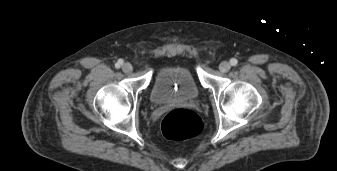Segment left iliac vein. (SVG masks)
Segmentation results:
<instances>
[{
    "label": "left iliac vein",
    "instance_id": "obj_1",
    "mask_svg": "<svg viewBox=\"0 0 337 171\" xmlns=\"http://www.w3.org/2000/svg\"><path fill=\"white\" fill-rule=\"evenodd\" d=\"M230 68H231V65H230V63L227 62V61H223V62H221L220 65H219V70H220L222 73L228 72V71L230 70Z\"/></svg>",
    "mask_w": 337,
    "mask_h": 171
}]
</instances>
